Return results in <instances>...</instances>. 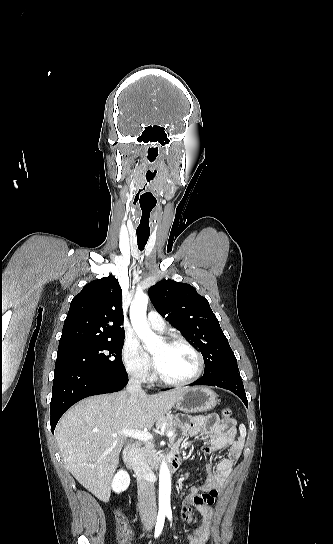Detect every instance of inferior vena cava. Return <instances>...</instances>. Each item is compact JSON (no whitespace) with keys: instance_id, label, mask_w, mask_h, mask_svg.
<instances>
[{"instance_id":"obj_1","label":"inferior vena cava","mask_w":333,"mask_h":544,"mask_svg":"<svg viewBox=\"0 0 333 544\" xmlns=\"http://www.w3.org/2000/svg\"><path fill=\"white\" fill-rule=\"evenodd\" d=\"M127 392L132 396L145 394L141 387V380L136 375H132L129 378ZM131 464L136 473L140 516L143 520L154 518L156 517L157 509L155 488L150 480L151 469L144 452L137 446L134 448Z\"/></svg>"}]
</instances>
